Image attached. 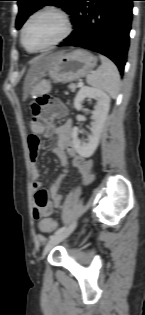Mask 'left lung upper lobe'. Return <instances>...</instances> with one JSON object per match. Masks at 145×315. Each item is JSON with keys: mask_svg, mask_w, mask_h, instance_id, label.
<instances>
[{"mask_svg": "<svg viewBox=\"0 0 145 315\" xmlns=\"http://www.w3.org/2000/svg\"><path fill=\"white\" fill-rule=\"evenodd\" d=\"M19 13L16 19V28L20 29L26 19L37 9L45 5H54L63 8L71 15L78 0H16Z\"/></svg>", "mask_w": 145, "mask_h": 315, "instance_id": "1", "label": "left lung upper lobe"}]
</instances>
